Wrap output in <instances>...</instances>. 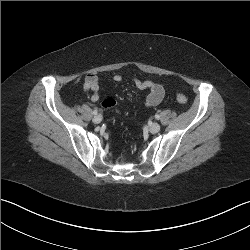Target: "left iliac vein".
Returning a JSON list of instances; mask_svg holds the SVG:
<instances>
[{"label": "left iliac vein", "mask_w": 250, "mask_h": 250, "mask_svg": "<svg viewBox=\"0 0 250 250\" xmlns=\"http://www.w3.org/2000/svg\"><path fill=\"white\" fill-rule=\"evenodd\" d=\"M148 129L151 133H157L160 131L161 126L158 123H151Z\"/></svg>", "instance_id": "left-iliac-vein-1"}]
</instances>
